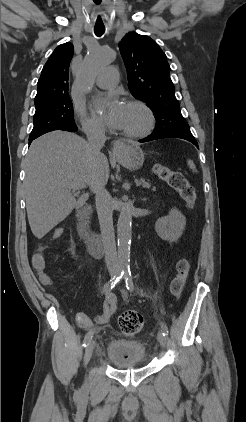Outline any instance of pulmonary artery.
I'll return each mask as SVG.
<instances>
[{
	"instance_id": "1",
	"label": "pulmonary artery",
	"mask_w": 246,
	"mask_h": 422,
	"mask_svg": "<svg viewBox=\"0 0 246 422\" xmlns=\"http://www.w3.org/2000/svg\"><path fill=\"white\" fill-rule=\"evenodd\" d=\"M118 81V71L115 67L104 68L96 78V85L100 88H112Z\"/></svg>"
}]
</instances>
